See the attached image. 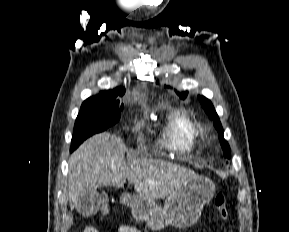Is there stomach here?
<instances>
[{"instance_id": "0dacf381", "label": "stomach", "mask_w": 289, "mask_h": 232, "mask_svg": "<svg viewBox=\"0 0 289 232\" xmlns=\"http://www.w3.org/2000/svg\"><path fill=\"white\" fill-rule=\"evenodd\" d=\"M214 183L203 176L196 175L178 191L167 197L164 207L154 200L141 196L124 195L122 201L130 205L134 219L144 221L153 230L166 226L187 228L198 221L206 203L214 196Z\"/></svg>"}]
</instances>
